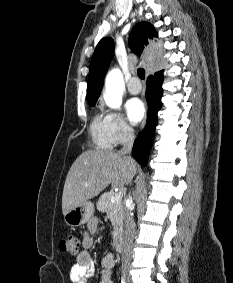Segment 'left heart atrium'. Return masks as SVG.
<instances>
[{"mask_svg":"<svg viewBox=\"0 0 233 283\" xmlns=\"http://www.w3.org/2000/svg\"><path fill=\"white\" fill-rule=\"evenodd\" d=\"M125 109L132 124L139 123L145 114V106L138 98L129 99L125 104Z\"/></svg>","mask_w":233,"mask_h":283,"instance_id":"39dd6f15","label":"left heart atrium"}]
</instances>
